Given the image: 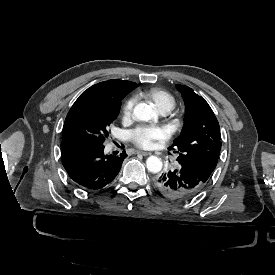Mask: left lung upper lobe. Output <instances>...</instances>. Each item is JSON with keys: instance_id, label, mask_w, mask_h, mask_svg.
<instances>
[{"instance_id": "left-lung-upper-lobe-1", "label": "left lung upper lobe", "mask_w": 275, "mask_h": 275, "mask_svg": "<svg viewBox=\"0 0 275 275\" xmlns=\"http://www.w3.org/2000/svg\"><path fill=\"white\" fill-rule=\"evenodd\" d=\"M176 88L186 106L185 126L169 150L179 154L180 167L206 183L217 165L221 149L219 123L204 98L187 86L177 84Z\"/></svg>"}]
</instances>
